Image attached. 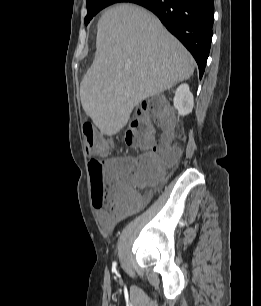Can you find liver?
<instances>
[{"label":"liver","instance_id":"liver-1","mask_svg":"<svg viewBox=\"0 0 261 306\" xmlns=\"http://www.w3.org/2000/svg\"><path fill=\"white\" fill-rule=\"evenodd\" d=\"M194 68L157 17L136 5L114 6L98 21L95 59L80 85L82 107L103 134L115 135L136 105L189 79Z\"/></svg>","mask_w":261,"mask_h":306}]
</instances>
